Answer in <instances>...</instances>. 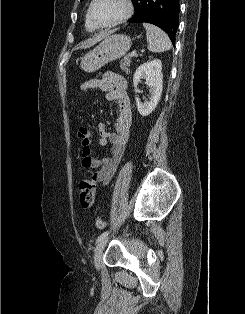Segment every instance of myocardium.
<instances>
[{"mask_svg": "<svg viewBox=\"0 0 245 314\" xmlns=\"http://www.w3.org/2000/svg\"><path fill=\"white\" fill-rule=\"evenodd\" d=\"M96 2L97 0H92L88 8V18L95 28H111V27L117 26L123 23L124 21H126L127 19H129L134 11V6L131 0H122L124 4L123 13L114 21L110 23L102 24V23L97 22L93 16V8Z\"/></svg>", "mask_w": 245, "mask_h": 314, "instance_id": "myocardium-1", "label": "myocardium"}]
</instances>
